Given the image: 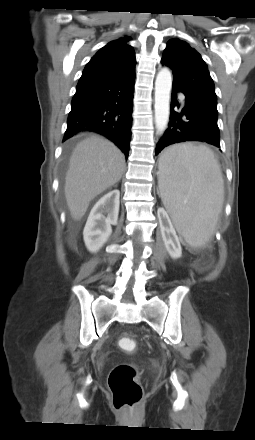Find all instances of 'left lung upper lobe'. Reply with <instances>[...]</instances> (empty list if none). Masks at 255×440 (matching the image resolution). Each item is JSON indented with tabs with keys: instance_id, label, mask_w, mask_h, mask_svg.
<instances>
[{
	"instance_id": "left-lung-upper-lobe-1",
	"label": "left lung upper lobe",
	"mask_w": 255,
	"mask_h": 440,
	"mask_svg": "<svg viewBox=\"0 0 255 440\" xmlns=\"http://www.w3.org/2000/svg\"><path fill=\"white\" fill-rule=\"evenodd\" d=\"M161 62L173 71V85L191 100L216 107L217 97L213 80L201 55L188 43L171 39Z\"/></svg>"
}]
</instances>
